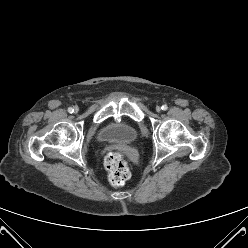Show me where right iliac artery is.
<instances>
[{"label": "right iliac artery", "instance_id": "right-iliac-artery-1", "mask_svg": "<svg viewBox=\"0 0 248 248\" xmlns=\"http://www.w3.org/2000/svg\"><path fill=\"white\" fill-rule=\"evenodd\" d=\"M68 112L69 113H73L74 112V109L72 107L68 108Z\"/></svg>", "mask_w": 248, "mask_h": 248}]
</instances>
